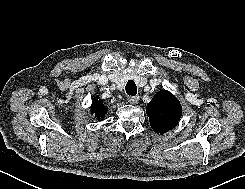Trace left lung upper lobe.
Wrapping results in <instances>:
<instances>
[{"label":"left lung upper lobe","instance_id":"left-lung-upper-lobe-1","mask_svg":"<svg viewBox=\"0 0 245 189\" xmlns=\"http://www.w3.org/2000/svg\"><path fill=\"white\" fill-rule=\"evenodd\" d=\"M151 127L156 133L172 130L180 120L182 108L177 98L167 90H161L146 107Z\"/></svg>","mask_w":245,"mask_h":189}]
</instances>
